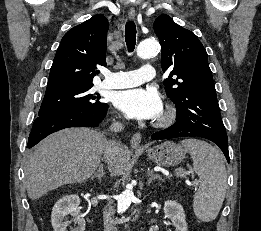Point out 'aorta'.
Segmentation results:
<instances>
[{
    "mask_svg": "<svg viewBox=\"0 0 261 231\" xmlns=\"http://www.w3.org/2000/svg\"><path fill=\"white\" fill-rule=\"evenodd\" d=\"M160 46L157 41L149 39L142 41L137 47V55L147 59L159 52ZM134 197L132 187H127L118 197L117 212L124 213L130 206Z\"/></svg>",
    "mask_w": 261,
    "mask_h": 231,
    "instance_id": "762f6f07",
    "label": "aorta"
}]
</instances>
